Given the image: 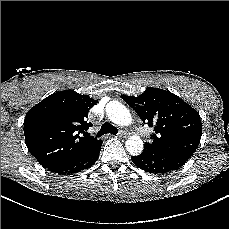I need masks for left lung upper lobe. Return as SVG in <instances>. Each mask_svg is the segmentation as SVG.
Masks as SVG:
<instances>
[{"label":"left lung upper lobe","instance_id":"obj_1","mask_svg":"<svg viewBox=\"0 0 229 229\" xmlns=\"http://www.w3.org/2000/svg\"><path fill=\"white\" fill-rule=\"evenodd\" d=\"M143 123L155 126L143 152L192 156L202 135L199 113L175 94L148 88L138 97L122 95Z\"/></svg>","mask_w":229,"mask_h":229}]
</instances>
